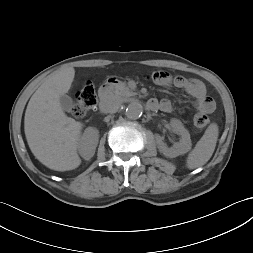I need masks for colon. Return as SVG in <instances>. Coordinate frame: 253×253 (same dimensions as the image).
<instances>
[{
    "label": "colon",
    "mask_w": 253,
    "mask_h": 253,
    "mask_svg": "<svg viewBox=\"0 0 253 253\" xmlns=\"http://www.w3.org/2000/svg\"><path fill=\"white\" fill-rule=\"evenodd\" d=\"M97 104V96L94 86L87 82L77 94V100L73 108V113L77 117L84 116ZM209 123V117L206 113H197L193 118V125L197 130H203Z\"/></svg>",
    "instance_id": "colon-1"
}]
</instances>
